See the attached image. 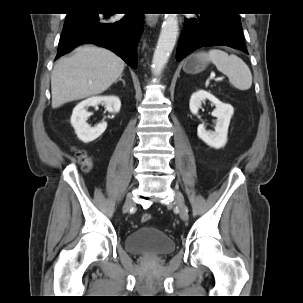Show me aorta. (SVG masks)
Wrapping results in <instances>:
<instances>
[{"label":"aorta","mask_w":303,"mask_h":303,"mask_svg":"<svg viewBox=\"0 0 303 303\" xmlns=\"http://www.w3.org/2000/svg\"><path fill=\"white\" fill-rule=\"evenodd\" d=\"M179 32L177 14H165V19L161 27V32L154 51L152 67L153 74L159 76L168 62L176 44Z\"/></svg>","instance_id":"762f6f07"}]
</instances>
